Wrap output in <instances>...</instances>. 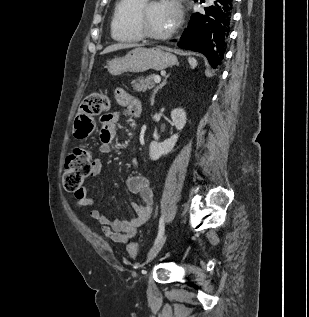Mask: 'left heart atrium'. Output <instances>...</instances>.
Returning a JSON list of instances; mask_svg holds the SVG:
<instances>
[{
  "label": "left heart atrium",
  "instance_id": "left-heart-atrium-1",
  "mask_svg": "<svg viewBox=\"0 0 309 317\" xmlns=\"http://www.w3.org/2000/svg\"><path fill=\"white\" fill-rule=\"evenodd\" d=\"M168 9L170 10L172 16L174 17L175 21L177 22L181 15V7L177 0H167L165 2Z\"/></svg>",
  "mask_w": 309,
  "mask_h": 317
}]
</instances>
